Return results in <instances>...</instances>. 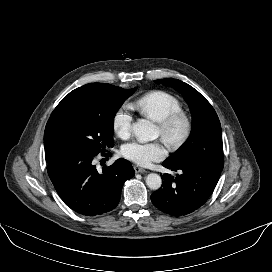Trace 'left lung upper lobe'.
Segmentation results:
<instances>
[{
  "label": "left lung upper lobe",
  "instance_id": "5c2ea615",
  "mask_svg": "<svg viewBox=\"0 0 272 272\" xmlns=\"http://www.w3.org/2000/svg\"><path fill=\"white\" fill-rule=\"evenodd\" d=\"M180 92L192 113V131L184 147L167 162L191 160L222 170L224 166L221 125L211 104L192 86L173 78L155 80Z\"/></svg>",
  "mask_w": 272,
  "mask_h": 272
}]
</instances>
